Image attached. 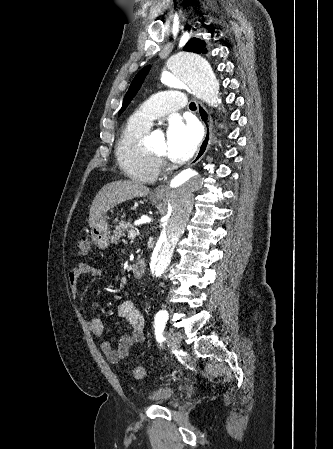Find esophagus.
<instances>
[{"label":"esophagus","instance_id":"esophagus-1","mask_svg":"<svg viewBox=\"0 0 333 449\" xmlns=\"http://www.w3.org/2000/svg\"><path fill=\"white\" fill-rule=\"evenodd\" d=\"M196 105H197V111L199 114V118L205 128V133H204V138L199 146V149H198L195 157L190 162L191 166L197 164L203 158V156L207 152L209 146L211 145V142L213 139L212 118H211L210 114L208 113L207 109L205 108V106L201 102L197 101ZM166 188H167V184H165V183L159 185L157 188H155V190L153 192L154 196L163 197L165 194Z\"/></svg>","mask_w":333,"mask_h":449}]
</instances>
